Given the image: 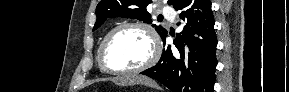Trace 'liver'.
Masks as SVG:
<instances>
[{
	"label": "liver",
	"instance_id": "1",
	"mask_svg": "<svg viewBox=\"0 0 289 92\" xmlns=\"http://www.w3.org/2000/svg\"><path fill=\"white\" fill-rule=\"evenodd\" d=\"M135 82H136V80H131V79L126 80V83H135Z\"/></svg>",
	"mask_w": 289,
	"mask_h": 92
}]
</instances>
